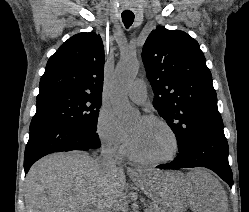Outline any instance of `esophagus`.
<instances>
[{
    "label": "esophagus",
    "instance_id": "34e87169",
    "mask_svg": "<svg viewBox=\"0 0 249 212\" xmlns=\"http://www.w3.org/2000/svg\"><path fill=\"white\" fill-rule=\"evenodd\" d=\"M128 172H133V173H134L135 170H134L133 168H129V169H128Z\"/></svg>",
    "mask_w": 249,
    "mask_h": 212
}]
</instances>
